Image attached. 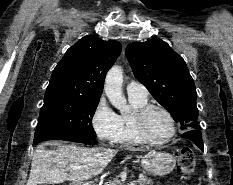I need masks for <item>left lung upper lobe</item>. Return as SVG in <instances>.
<instances>
[{
    "label": "left lung upper lobe",
    "instance_id": "1",
    "mask_svg": "<svg viewBox=\"0 0 233 185\" xmlns=\"http://www.w3.org/2000/svg\"><path fill=\"white\" fill-rule=\"evenodd\" d=\"M126 56L135 77L180 123L181 129L196 128L197 93L183 58L160 39L131 43Z\"/></svg>",
    "mask_w": 233,
    "mask_h": 185
}]
</instances>
